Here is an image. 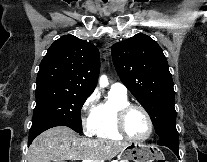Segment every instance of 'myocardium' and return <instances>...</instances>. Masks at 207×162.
<instances>
[{"mask_svg":"<svg viewBox=\"0 0 207 162\" xmlns=\"http://www.w3.org/2000/svg\"><path fill=\"white\" fill-rule=\"evenodd\" d=\"M134 109L140 110L145 115L147 122H148V127H149L148 132L144 137H141V138L132 137L127 132L126 127H125L126 118H127L128 114ZM115 126H116L117 132L122 137H124L130 141H133V142H144V141L148 140L154 131V124H153V121H152V118H151L149 112L142 105L134 104V103H127L117 110L116 116H115Z\"/></svg>","mask_w":207,"mask_h":162,"instance_id":"1","label":"myocardium"}]
</instances>
